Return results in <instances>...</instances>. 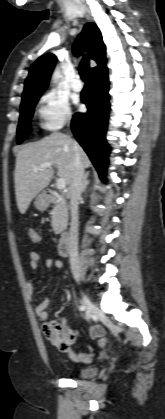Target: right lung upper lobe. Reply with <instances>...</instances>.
I'll list each match as a JSON object with an SVG mask.
<instances>
[{"label": "right lung upper lobe", "mask_w": 165, "mask_h": 419, "mask_svg": "<svg viewBox=\"0 0 165 419\" xmlns=\"http://www.w3.org/2000/svg\"><path fill=\"white\" fill-rule=\"evenodd\" d=\"M86 49L91 57L98 64L90 69V74L98 73L106 69L105 45L102 35L94 23L85 25L82 33L78 36L73 45V52L79 55ZM56 63V57L49 53L42 55L30 67L29 75L25 81V88L22 94V101L42 92L48 86L50 75Z\"/></svg>", "instance_id": "1"}]
</instances>
